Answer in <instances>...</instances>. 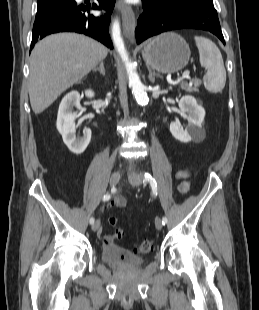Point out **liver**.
<instances>
[{"label":"liver","mask_w":259,"mask_h":310,"mask_svg":"<svg viewBox=\"0 0 259 310\" xmlns=\"http://www.w3.org/2000/svg\"><path fill=\"white\" fill-rule=\"evenodd\" d=\"M107 53L104 45L77 33H58L41 40L30 60L28 88L33 112L42 113L102 62Z\"/></svg>","instance_id":"6515ba94"}]
</instances>
